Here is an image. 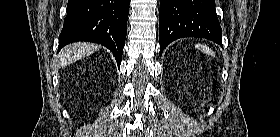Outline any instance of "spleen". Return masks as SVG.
I'll use <instances>...</instances> for the list:
<instances>
[{
  "label": "spleen",
  "instance_id": "spleen-1",
  "mask_svg": "<svg viewBox=\"0 0 280 137\" xmlns=\"http://www.w3.org/2000/svg\"><path fill=\"white\" fill-rule=\"evenodd\" d=\"M197 47L200 48L203 52H205L209 55H214V52L209 47H207L206 45L198 44Z\"/></svg>",
  "mask_w": 280,
  "mask_h": 137
}]
</instances>
